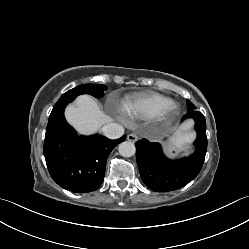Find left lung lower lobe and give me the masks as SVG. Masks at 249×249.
<instances>
[{
  "mask_svg": "<svg viewBox=\"0 0 249 249\" xmlns=\"http://www.w3.org/2000/svg\"><path fill=\"white\" fill-rule=\"evenodd\" d=\"M193 118L197 139L195 152L187 158L170 160L162 152L159 143L145 139L136 142V159L142 181L151 190L167 192L187 185L200 172L207 150L206 122L202 113L188 112L183 119Z\"/></svg>",
  "mask_w": 249,
  "mask_h": 249,
  "instance_id": "0a47b994",
  "label": "left lung lower lobe"
}]
</instances>
